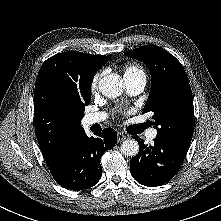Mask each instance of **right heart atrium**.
<instances>
[{
	"mask_svg": "<svg viewBox=\"0 0 221 221\" xmlns=\"http://www.w3.org/2000/svg\"><path fill=\"white\" fill-rule=\"evenodd\" d=\"M104 71H99L95 74L93 77L92 83H91V89L94 90L98 84L99 79L103 75Z\"/></svg>",
	"mask_w": 221,
	"mask_h": 221,
	"instance_id": "1",
	"label": "right heart atrium"
}]
</instances>
